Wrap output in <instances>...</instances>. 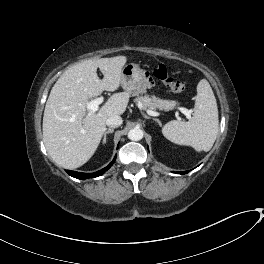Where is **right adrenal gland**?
I'll return each instance as SVG.
<instances>
[{
    "label": "right adrenal gland",
    "mask_w": 264,
    "mask_h": 264,
    "mask_svg": "<svg viewBox=\"0 0 264 264\" xmlns=\"http://www.w3.org/2000/svg\"><path fill=\"white\" fill-rule=\"evenodd\" d=\"M114 132V128H109L105 133H104V137H103V143H106V139H107V134L109 133H113Z\"/></svg>",
    "instance_id": "right-adrenal-gland-1"
}]
</instances>
